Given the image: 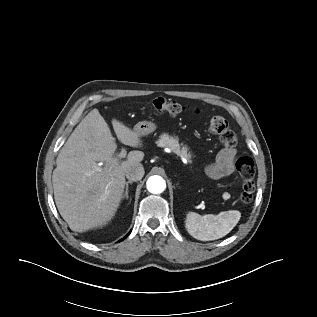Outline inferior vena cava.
<instances>
[{"instance_id": "inferior-vena-cava-1", "label": "inferior vena cava", "mask_w": 317, "mask_h": 317, "mask_svg": "<svg viewBox=\"0 0 317 317\" xmlns=\"http://www.w3.org/2000/svg\"><path fill=\"white\" fill-rule=\"evenodd\" d=\"M144 168L142 165H134L126 172V178L130 181L141 180L144 176Z\"/></svg>"}]
</instances>
